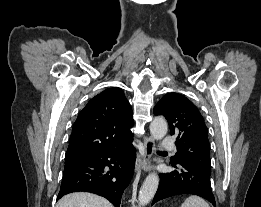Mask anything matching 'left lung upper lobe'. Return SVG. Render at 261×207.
Instances as JSON below:
<instances>
[{"mask_svg":"<svg viewBox=\"0 0 261 207\" xmlns=\"http://www.w3.org/2000/svg\"><path fill=\"white\" fill-rule=\"evenodd\" d=\"M155 115H163L176 137L177 153L171 162H184L210 174L211 159L208 130L198 108L178 93H168L154 107Z\"/></svg>","mask_w":261,"mask_h":207,"instance_id":"1","label":"left lung upper lobe"}]
</instances>
